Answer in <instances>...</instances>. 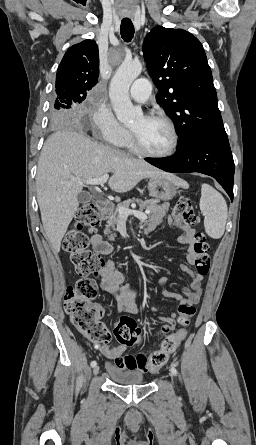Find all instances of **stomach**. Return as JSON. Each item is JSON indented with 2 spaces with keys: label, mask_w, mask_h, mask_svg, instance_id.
<instances>
[{
  "label": "stomach",
  "mask_w": 256,
  "mask_h": 445,
  "mask_svg": "<svg viewBox=\"0 0 256 445\" xmlns=\"http://www.w3.org/2000/svg\"><path fill=\"white\" fill-rule=\"evenodd\" d=\"M150 196L157 200H172L178 193V186L170 176L151 177L148 182Z\"/></svg>",
  "instance_id": "0dacf381"
}]
</instances>
